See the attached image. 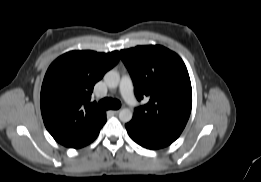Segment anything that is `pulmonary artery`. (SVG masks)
I'll return each instance as SVG.
<instances>
[{
  "label": "pulmonary artery",
  "mask_w": 261,
  "mask_h": 182,
  "mask_svg": "<svg viewBox=\"0 0 261 182\" xmlns=\"http://www.w3.org/2000/svg\"><path fill=\"white\" fill-rule=\"evenodd\" d=\"M119 92L123 99L131 106H134L136 99L133 93V85L131 78L128 75H124L121 78Z\"/></svg>",
  "instance_id": "1"
}]
</instances>
